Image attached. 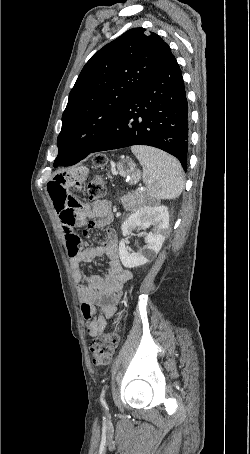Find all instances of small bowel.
Returning <instances> with one entry per match:
<instances>
[{
	"mask_svg": "<svg viewBox=\"0 0 250 454\" xmlns=\"http://www.w3.org/2000/svg\"><path fill=\"white\" fill-rule=\"evenodd\" d=\"M82 184L80 176L59 175L48 183L47 189L66 239L87 332L94 336L105 330L107 320L115 314L116 297L131 278V273L121 264L118 239L112 229H107V236L100 246L83 245L77 227L89 221V228H104L110 224L112 212L107 200L96 201L92 205L78 200L73 191L81 190ZM102 255L108 258V272L104 276L86 277L80 263L91 262Z\"/></svg>",
	"mask_w": 250,
	"mask_h": 454,
	"instance_id": "obj_1",
	"label": "small bowel"
}]
</instances>
